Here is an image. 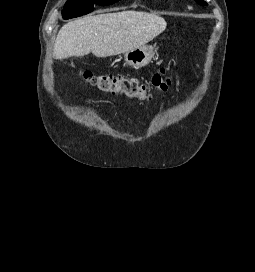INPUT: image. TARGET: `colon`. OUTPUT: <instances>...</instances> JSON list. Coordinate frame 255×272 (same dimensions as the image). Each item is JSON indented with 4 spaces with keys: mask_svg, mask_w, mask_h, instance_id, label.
<instances>
[{
    "mask_svg": "<svg viewBox=\"0 0 255 272\" xmlns=\"http://www.w3.org/2000/svg\"><path fill=\"white\" fill-rule=\"evenodd\" d=\"M80 75L101 92L137 100H150L153 93L164 92L172 84V79L164 67L152 75L149 83L126 75L95 74L91 71H82Z\"/></svg>",
    "mask_w": 255,
    "mask_h": 272,
    "instance_id": "1",
    "label": "colon"
}]
</instances>
